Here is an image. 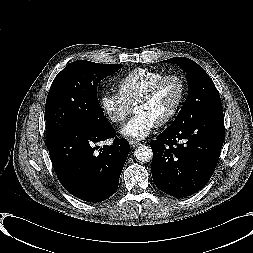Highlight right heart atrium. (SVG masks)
Masks as SVG:
<instances>
[{"instance_id": "1", "label": "right heart atrium", "mask_w": 253, "mask_h": 253, "mask_svg": "<svg viewBox=\"0 0 253 253\" xmlns=\"http://www.w3.org/2000/svg\"><path fill=\"white\" fill-rule=\"evenodd\" d=\"M100 106L105 117L117 125L123 124L133 110V106L118 92L104 93L100 98Z\"/></svg>"}]
</instances>
